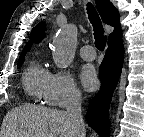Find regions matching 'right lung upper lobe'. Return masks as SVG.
<instances>
[{
	"label": "right lung upper lobe",
	"mask_w": 144,
	"mask_h": 137,
	"mask_svg": "<svg viewBox=\"0 0 144 137\" xmlns=\"http://www.w3.org/2000/svg\"><path fill=\"white\" fill-rule=\"evenodd\" d=\"M97 9L102 17L104 23L115 27L113 33L109 35L108 43L121 39L122 32L119 25V12L109 0H96ZM45 24L39 23L35 26L30 35V41L24 47L19 61H24L26 52L31 49L32 43H39L45 37Z\"/></svg>",
	"instance_id": "right-lung-upper-lobe-1"
}]
</instances>
